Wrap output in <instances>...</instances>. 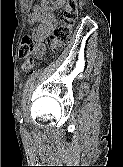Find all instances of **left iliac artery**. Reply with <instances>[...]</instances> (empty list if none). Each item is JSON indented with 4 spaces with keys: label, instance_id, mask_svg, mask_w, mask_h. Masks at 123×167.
I'll return each instance as SVG.
<instances>
[{
    "label": "left iliac artery",
    "instance_id": "obj_1",
    "mask_svg": "<svg viewBox=\"0 0 123 167\" xmlns=\"http://www.w3.org/2000/svg\"><path fill=\"white\" fill-rule=\"evenodd\" d=\"M15 116L20 123H23V118L18 107L15 109Z\"/></svg>",
    "mask_w": 123,
    "mask_h": 167
}]
</instances>
